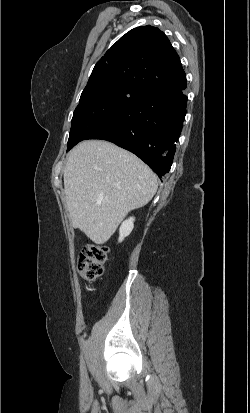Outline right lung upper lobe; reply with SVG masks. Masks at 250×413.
I'll return each mask as SVG.
<instances>
[{
	"label": "right lung upper lobe",
	"instance_id": "right-lung-upper-lobe-1",
	"mask_svg": "<svg viewBox=\"0 0 250 413\" xmlns=\"http://www.w3.org/2000/svg\"><path fill=\"white\" fill-rule=\"evenodd\" d=\"M186 82L179 56L166 35L150 25L123 35L96 63L87 86L123 85L141 93Z\"/></svg>",
	"mask_w": 250,
	"mask_h": 413
}]
</instances>
